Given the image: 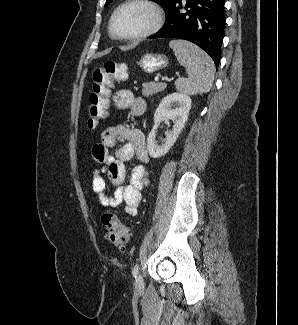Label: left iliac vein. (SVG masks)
I'll return each mask as SVG.
<instances>
[{"label":"left iliac vein","instance_id":"1","mask_svg":"<svg viewBox=\"0 0 298 325\" xmlns=\"http://www.w3.org/2000/svg\"><path fill=\"white\" fill-rule=\"evenodd\" d=\"M135 289L137 291H142L144 288V281H143V277L141 274L137 275L135 283H134Z\"/></svg>","mask_w":298,"mask_h":325}]
</instances>
